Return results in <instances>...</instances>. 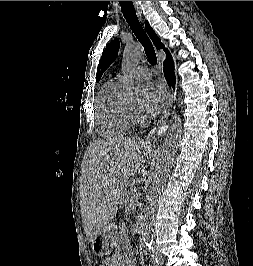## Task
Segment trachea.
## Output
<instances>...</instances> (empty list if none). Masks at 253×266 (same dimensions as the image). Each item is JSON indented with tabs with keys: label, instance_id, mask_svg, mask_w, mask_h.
<instances>
[{
	"label": "trachea",
	"instance_id": "3493384b",
	"mask_svg": "<svg viewBox=\"0 0 253 266\" xmlns=\"http://www.w3.org/2000/svg\"><path fill=\"white\" fill-rule=\"evenodd\" d=\"M119 4L121 6V10H122L124 18L126 19L128 25L130 26L131 30L135 34L136 38L139 40V42L143 46L148 62L151 65H156L157 57H156L154 47L138 20V17L134 9L133 2L132 1H119Z\"/></svg>",
	"mask_w": 253,
	"mask_h": 266
}]
</instances>
